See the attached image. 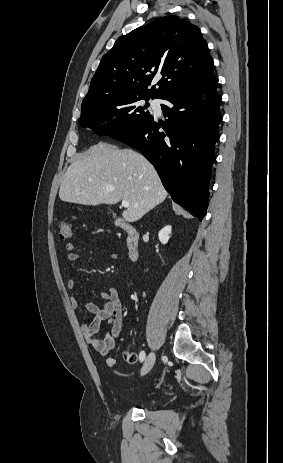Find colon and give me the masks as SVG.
Instances as JSON below:
<instances>
[{
    "mask_svg": "<svg viewBox=\"0 0 283 463\" xmlns=\"http://www.w3.org/2000/svg\"><path fill=\"white\" fill-rule=\"evenodd\" d=\"M58 235L61 239H68L72 236V229L69 221L61 219L58 223ZM124 359L128 363H135L137 361V355L133 352H126Z\"/></svg>",
    "mask_w": 283,
    "mask_h": 463,
    "instance_id": "colon-1",
    "label": "colon"
}]
</instances>
